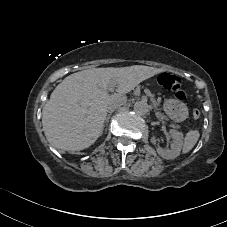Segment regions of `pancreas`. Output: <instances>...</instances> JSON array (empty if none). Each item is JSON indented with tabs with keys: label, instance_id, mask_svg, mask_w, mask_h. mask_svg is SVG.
Segmentation results:
<instances>
[{
	"label": "pancreas",
	"instance_id": "1",
	"mask_svg": "<svg viewBox=\"0 0 227 227\" xmlns=\"http://www.w3.org/2000/svg\"><path fill=\"white\" fill-rule=\"evenodd\" d=\"M163 119H165V121L172 127L174 128L176 125L174 123H172V121L167 117L165 116L163 113L160 115Z\"/></svg>",
	"mask_w": 227,
	"mask_h": 227
}]
</instances>
